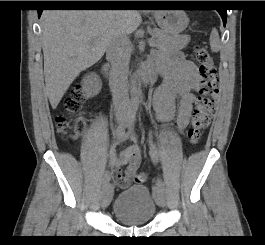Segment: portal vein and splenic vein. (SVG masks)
<instances>
[{
    "label": "portal vein and splenic vein",
    "mask_w": 265,
    "mask_h": 245,
    "mask_svg": "<svg viewBox=\"0 0 265 245\" xmlns=\"http://www.w3.org/2000/svg\"><path fill=\"white\" fill-rule=\"evenodd\" d=\"M149 44H151L152 46H155V42L152 41V39L149 40Z\"/></svg>",
    "instance_id": "portal-vein-and-splenic-vein-1"
}]
</instances>
